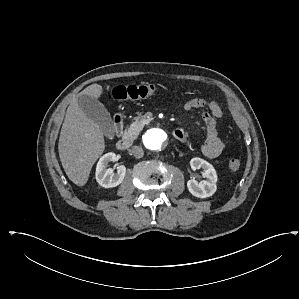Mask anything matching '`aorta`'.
I'll return each instance as SVG.
<instances>
[{
  "instance_id": "762f6f07",
  "label": "aorta",
  "mask_w": 299,
  "mask_h": 299,
  "mask_svg": "<svg viewBox=\"0 0 299 299\" xmlns=\"http://www.w3.org/2000/svg\"><path fill=\"white\" fill-rule=\"evenodd\" d=\"M144 145L146 148L152 151L163 150L168 142V136L166 132L160 128H152L144 135Z\"/></svg>"
}]
</instances>
